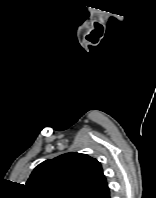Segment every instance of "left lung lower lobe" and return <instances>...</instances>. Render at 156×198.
<instances>
[{"label": "left lung lower lobe", "instance_id": "left-lung-lower-lobe-1", "mask_svg": "<svg viewBox=\"0 0 156 198\" xmlns=\"http://www.w3.org/2000/svg\"><path fill=\"white\" fill-rule=\"evenodd\" d=\"M96 198H110L109 188H107L105 191L99 194Z\"/></svg>", "mask_w": 156, "mask_h": 198}]
</instances>
